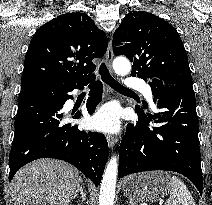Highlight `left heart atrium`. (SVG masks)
<instances>
[{
	"mask_svg": "<svg viewBox=\"0 0 212 205\" xmlns=\"http://www.w3.org/2000/svg\"><path fill=\"white\" fill-rule=\"evenodd\" d=\"M94 129L103 132H114L119 128V110L111 104L100 107L90 121Z\"/></svg>",
	"mask_w": 212,
	"mask_h": 205,
	"instance_id": "1",
	"label": "left heart atrium"
}]
</instances>
